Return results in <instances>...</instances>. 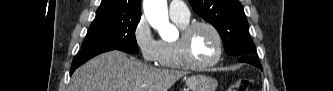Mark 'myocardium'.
I'll list each match as a JSON object with an SVG mask.
<instances>
[{"label":"myocardium","mask_w":333,"mask_h":91,"mask_svg":"<svg viewBox=\"0 0 333 91\" xmlns=\"http://www.w3.org/2000/svg\"><path fill=\"white\" fill-rule=\"evenodd\" d=\"M199 27H205L209 29L214 36L216 37L217 44H218V52L217 55L214 59L211 61L205 62V63H199L196 62L193 59L192 52H191V41H192V36L195 32L196 29ZM178 46H179V52H180V58L183 64L192 69H207L211 68L215 65H217L223 55H224V40L221 32L219 29L212 23L207 22V21H192L189 24H187L181 32V35L179 39L177 40Z\"/></svg>","instance_id":"f54148a6"}]
</instances>
